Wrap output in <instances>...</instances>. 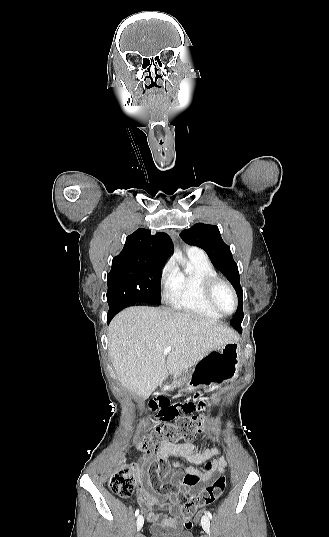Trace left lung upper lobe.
Returning a JSON list of instances; mask_svg holds the SVG:
<instances>
[{"label": "left lung upper lobe", "mask_w": 329, "mask_h": 537, "mask_svg": "<svg viewBox=\"0 0 329 537\" xmlns=\"http://www.w3.org/2000/svg\"><path fill=\"white\" fill-rule=\"evenodd\" d=\"M182 239L189 245L202 248L210 257L215 268L220 270L233 285L238 296V308L230 324L239 332L242 331L243 291L239 281L238 267L233 260L230 248L221 238L215 225L197 223L181 232Z\"/></svg>", "instance_id": "left-lung-upper-lobe-1"}]
</instances>
